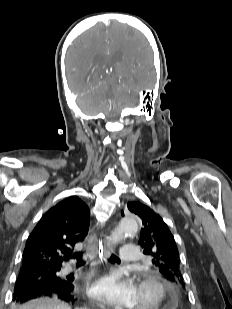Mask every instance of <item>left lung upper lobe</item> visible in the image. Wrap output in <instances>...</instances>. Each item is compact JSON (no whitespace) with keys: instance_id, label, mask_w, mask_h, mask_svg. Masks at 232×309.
<instances>
[{"instance_id":"1","label":"left lung upper lobe","mask_w":232,"mask_h":309,"mask_svg":"<svg viewBox=\"0 0 232 309\" xmlns=\"http://www.w3.org/2000/svg\"><path fill=\"white\" fill-rule=\"evenodd\" d=\"M127 207L142 220L143 227L138 244L143 253L152 257L153 265L167 280L183 284L179 251L166 223L142 203L129 202Z\"/></svg>"}]
</instances>
